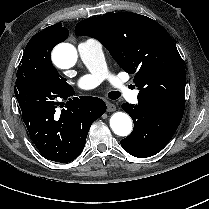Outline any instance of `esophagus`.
<instances>
[{
	"mask_svg": "<svg viewBox=\"0 0 209 209\" xmlns=\"http://www.w3.org/2000/svg\"><path fill=\"white\" fill-rule=\"evenodd\" d=\"M106 104H107V111L108 112H112V111L116 110V106L113 103L107 101Z\"/></svg>",
	"mask_w": 209,
	"mask_h": 209,
	"instance_id": "1",
	"label": "esophagus"
}]
</instances>
